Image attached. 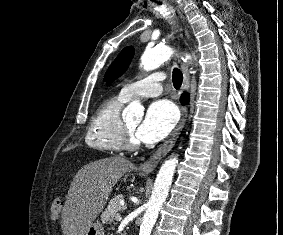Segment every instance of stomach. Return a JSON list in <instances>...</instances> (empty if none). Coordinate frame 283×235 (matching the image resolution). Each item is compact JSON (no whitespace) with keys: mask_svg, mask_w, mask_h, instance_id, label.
<instances>
[{"mask_svg":"<svg viewBox=\"0 0 283 235\" xmlns=\"http://www.w3.org/2000/svg\"><path fill=\"white\" fill-rule=\"evenodd\" d=\"M85 235H104V229L99 221L92 222Z\"/></svg>","mask_w":283,"mask_h":235,"instance_id":"obj_1","label":"stomach"}]
</instances>
